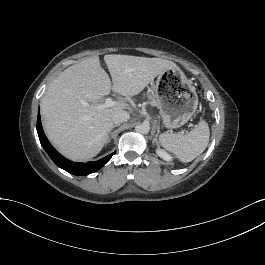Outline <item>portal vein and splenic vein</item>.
<instances>
[{
	"mask_svg": "<svg viewBox=\"0 0 265 265\" xmlns=\"http://www.w3.org/2000/svg\"><path fill=\"white\" fill-rule=\"evenodd\" d=\"M80 102L84 107L90 106L89 103L86 102L85 100H81ZM115 105L116 101H113L111 98H107L104 104L99 105V108H108V107H113Z\"/></svg>",
	"mask_w": 265,
	"mask_h": 265,
	"instance_id": "1",
	"label": "portal vein and splenic vein"
}]
</instances>
